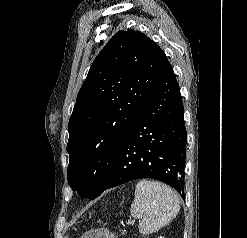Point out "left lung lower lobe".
Instances as JSON below:
<instances>
[{
	"label": "left lung lower lobe",
	"mask_w": 247,
	"mask_h": 238,
	"mask_svg": "<svg viewBox=\"0 0 247 238\" xmlns=\"http://www.w3.org/2000/svg\"><path fill=\"white\" fill-rule=\"evenodd\" d=\"M184 107L172 66L167 62L155 91L122 142L106 189L151 178L184 194L187 134Z\"/></svg>",
	"instance_id": "1"
}]
</instances>
